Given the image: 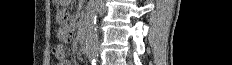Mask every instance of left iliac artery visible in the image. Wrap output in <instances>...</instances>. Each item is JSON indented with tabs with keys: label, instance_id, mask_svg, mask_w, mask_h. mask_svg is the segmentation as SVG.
Returning a JSON list of instances; mask_svg holds the SVG:
<instances>
[{
	"label": "left iliac artery",
	"instance_id": "obj_1",
	"mask_svg": "<svg viewBox=\"0 0 232 65\" xmlns=\"http://www.w3.org/2000/svg\"><path fill=\"white\" fill-rule=\"evenodd\" d=\"M96 59L94 58L93 60H92V65H96Z\"/></svg>",
	"mask_w": 232,
	"mask_h": 65
}]
</instances>
